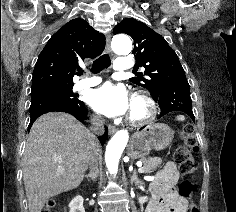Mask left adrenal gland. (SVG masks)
Instances as JSON below:
<instances>
[{
    "instance_id": "a2214340",
    "label": "left adrenal gland",
    "mask_w": 236,
    "mask_h": 212,
    "mask_svg": "<svg viewBox=\"0 0 236 212\" xmlns=\"http://www.w3.org/2000/svg\"><path fill=\"white\" fill-rule=\"evenodd\" d=\"M133 183H135V184L141 183L136 175V171H133V175L131 176V184H133Z\"/></svg>"
}]
</instances>
